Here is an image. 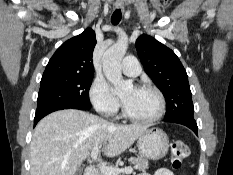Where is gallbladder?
Wrapping results in <instances>:
<instances>
[{
    "mask_svg": "<svg viewBox=\"0 0 233 175\" xmlns=\"http://www.w3.org/2000/svg\"><path fill=\"white\" fill-rule=\"evenodd\" d=\"M82 172H83V168H79V169L77 170L76 175H81V174H82Z\"/></svg>",
    "mask_w": 233,
    "mask_h": 175,
    "instance_id": "bac80fb5",
    "label": "gallbladder"
}]
</instances>
